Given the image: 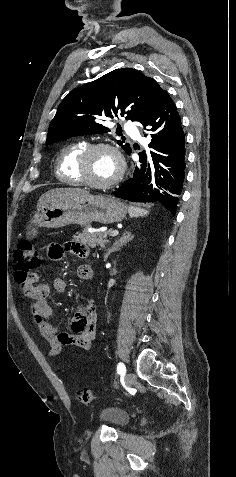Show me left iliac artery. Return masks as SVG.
<instances>
[{"label":"left iliac artery","mask_w":236,"mask_h":477,"mask_svg":"<svg viewBox=\"0 0 236 477\" xmlns=\"http://www.w3.org/2000/svg\"><path fill=\"white\" fill-rule=\"evenodd\" d=\"M125 372H126V367H125V365H124L122 362L118 363V365H117V373H118V374H121V373H125Z\"/></svg>","instance_id":"obj_1"}]
</instances>
